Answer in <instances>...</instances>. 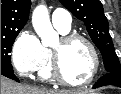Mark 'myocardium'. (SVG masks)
I'll list each match as a JSON object with an SVG mask.
<instances>
[{
  "mask_svg": "<svg viewBox=\"0 0 121 94\" xmlns=\"http://www.w3.org/2000/svg\"><path fill=\"white\" fill-rule=\"evenodd\" d=\"M80 40L88 47L93 60V70L90 76L82 82L75 83L68 80L62 70L61 55L58 49L53 48L51 51V65L52 76L59 84L68 87H82L90 84L96 78L100 69V58L94 44L84 35L79 33H67L63 34L60 41L63 45L69 44L72 41Z\"/></svg>",
  "mask_w": 121,
  "mask_h": 94,
  "instance_id": "f54148a6",
  "label": "myocardium"
}]
</instances>
